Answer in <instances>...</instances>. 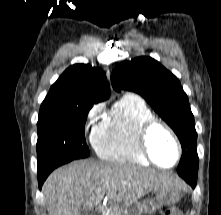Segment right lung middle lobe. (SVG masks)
<instances>
[{
  "label": "right lung middle lobe",
  "instance_id": "dd1d6c3e",
  "mask_svg": "<svg viewBox=\"0 0 221 215\" xmlns=\"http://www.w3.org/2000/svg\"><path fill=\"white\" fill-rule=\"evenodd\" d=\"M92 103L41 105L38 117V170L89 156L85 122Z\"/></svg>",
  "mask_w": 221,
  "mask_h": 215
}]
</instances>
